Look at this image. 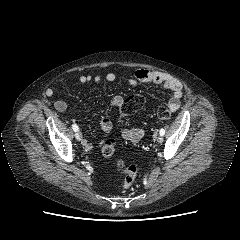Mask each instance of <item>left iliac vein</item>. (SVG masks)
Returning <instances> with one entry per match:
<instances>
[{"instance_id": "4c4485c4", "label": "left iliac vein", "mask_w": 240, "mask_h": 240, "mask_svg": "<svg viewBox=\"0 0 240 240\" xmlns=\"http://www.w3.org/2000/svg\"><path fill=\"white\" fill-rule=\"evenodd\" d=\"M157 142L162 143L163 142V137L160 135L157 137Z\"/></svg>"}]
</instances>
